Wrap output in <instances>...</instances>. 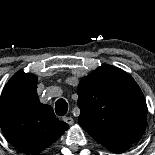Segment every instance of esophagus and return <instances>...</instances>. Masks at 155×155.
<instances>
[{
  "instance_id": "34e87169",
  "label": "esophagus",
  "mask_w": 155,
  "mask_h": 155,
  "mask_svg": "<svg viewBox=\"0 0 155 155\" xmlns=\"http://www.w3.org/2000/svg\"><path fill=\"white\" fill-rule=\"evenodd\" d=\"M63 120L69 125H72L74 123V120L72 117H64Z\"/></svg>"
}]
</instances>
